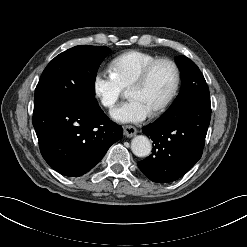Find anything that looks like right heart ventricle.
I'll use <instances>...</instances> for the list:
<instances>
[{"mask_svg": "<svg viewBox=\"0 0 247 247\" xmlns=\"http://www.w3.org/2000/svg\"><path fill=\"white\" fill-rule=\"evenodd\" d=\"M156 59L158 57L150 53L130 50L110 62L109 72L122 89H127L142 70Z\"/></svg>", "mask_w": 247, "mask_h": 247, "instance_id": "1", "label": "right heart ventricle"}]
</instances>
